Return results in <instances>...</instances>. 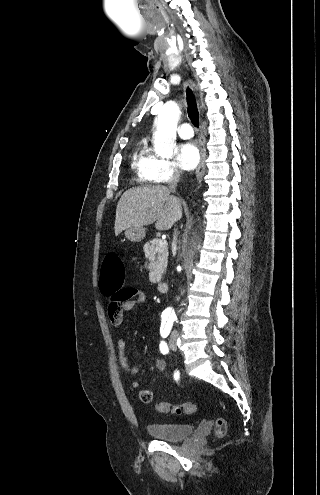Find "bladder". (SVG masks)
<instances>
[{
    "label": "bladder",
    "instance_id": "31cf9c89",
    "mask_svg": "<svg viewBox=\"0 0 320 495\" xmlns=\"http://www.w3.org/2000/svg\"><path fill=\"white\" fill-rule=\"evenodd\" d=\"M147 430L151 436L166 441H179L194 431V426L189 423H153Z\"/></svg>",
    "mask_w": 320,
    "mask_h": 495
}]
</instances>
